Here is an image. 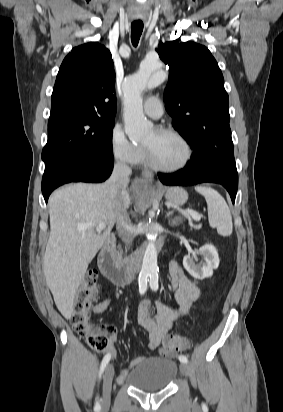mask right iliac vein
<instances>
[{
	"label": "right iliac vein",
	"instance_id": "63e3f726",
	"mask_svg": "<svg viewBox=\"0 0 283 412\" xmlns=\"http://www.w3.org/2000/svg\"><path fill=\"white\" fill-rule=\"evenodd\" d=\"M114 376V367L112 364H108L103 376V398H102V409H108L110 405V394L112 387V380Z\"/></svg>",
	"mask_w": 283,
	"mask_h": 412
}]
</instances>
